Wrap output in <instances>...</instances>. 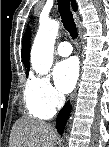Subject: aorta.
<instances>
[{
  "mask_svg": "<svg viewBox=\"0 0 109 147\" xmlns=\"http://www.w3.org/2000/svg\"><path fill=\"white\" fill-rule=\"evenodd\" d=\"M58 30L59 22L56 20L40 22L30 56L32 68L40 75L48 74L51 69Z\"/></svg>",
  "mask_w": 109,
  "mask_h": 147,
  "instance_id": "762f6f07",
  "label": "aorta"
}]
</instances>
